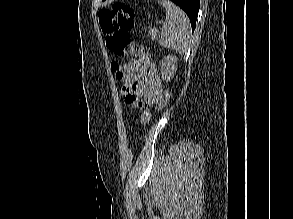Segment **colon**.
I'll return each instance as SVG.
<instances>
[{
	"instance_id": "obj_1",
	"label": "colon",
	"mask_w": 293,
	"mask_h": 219,
	"mask_svg": "<svg viewBox=\"0 0 293 219\" xmlns=\"http://www.w3.org/2000/svg\"><path fill=\"white\" fill-rule=\"evenodd\" d=\"M99 24L105 35L108 49L118 56L130 55L132 59L128 64L121 66L113 61L111 68L118 79H122L129 72H137L149 63V54L139 44L131 42L129 31L134 27L135 15L132 8L126 3L117 2L111 7L99 11ZM171 97V92L166 89L157 105V110L164 108Z\"/></svg>"
}]
</instances>
